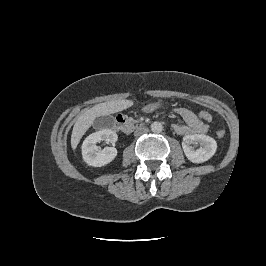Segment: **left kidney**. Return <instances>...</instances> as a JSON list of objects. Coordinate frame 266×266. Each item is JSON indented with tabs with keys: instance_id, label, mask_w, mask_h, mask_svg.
Segmentation results:
<instances>
[{
	"instance_id": "5707ae66",
	"label": "left kidney",
	"mask_w": 266,
	"mask_h": 266,
	"mask_svg": "<svg viewBox=\"0 0 266 266\" xmlns=\"http://www.w3.org/2000/svg\"><path fill=\"white\" fill-rule=\"evenodd\" d=\"M199 143L203 147L195 149L192 144ZM182 148L188 160L193 163H202L209 160L216 152V141L204 134L186 135L183 137Z\"/></svg>"
}]
</instances>
